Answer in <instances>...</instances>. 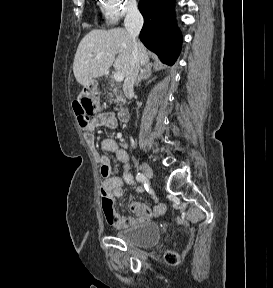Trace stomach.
<instances>
[{
	"label": "stomach",
	"instance_id": "1",
	"mask_svg": "<svg viewBox=\"0 0 273 288\" xmlns=\"http://www.w3.org/2000/svg\"><path fill=\"white\" fill-rule=\"evenodd\" d=\"M97 82L92 80L91 83L88 85V88L91 87L92 90H95L97 88Z\"/></svg>",
	"mask_w": 273,
	"mask_h": 288
}]
</instances>
